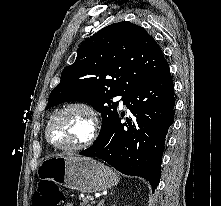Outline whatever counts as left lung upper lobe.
I'll use <instances>...</instances> for the list:
<instances>
[{"mask_svg":"<svg viewBox=\"0 0 221 206\" xmlns=\"http://www.w3.org/2000/svg\"><path fill=\"white\" fill-rule=\"evenodd\" d=\"M169 68L162 51L143 27L130 22L106 26L78 48L74 64L50 93L46 109L66 101H83L102 115L100 140L114 125L118 102Z\"/></svg>","mask_w":221,"mask_h":206,"instance_id":"left-lung-upper-lobe-1","label":"left lung upper lobe"}]
</instances>
